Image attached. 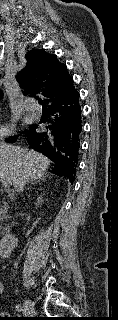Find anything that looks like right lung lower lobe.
I'll list each match as a JSON object with an SVG mask.
<instances>
[{
  "label": "right lung lower lobe",
  "instance_id": "98d812e1",
  "mask_svg": "<svg viewBox=\"0 0 118 320\" xmlns=\"http://www.w3.org/2000/svg\"><path fill=\"white\" fill-rule=\"evenodd\" d=\"M50 119L44 131L36 127L28 135L31 148L50 158L52 173L74 182L78 164L82 121L79 93L73 87L48 103Z\"/></svg>",
  "mask_w": 118,
  "mask_h": 320
}]
</instances>
